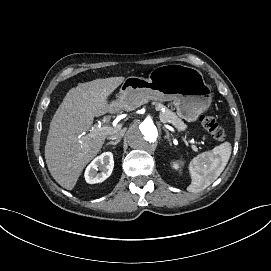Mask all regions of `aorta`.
<instances>
[{
  "mask_svg": "<svg viewBox=\"0 0 271 271\" xmlns=\"http://www.w3.org/2000/svg\"><path fill=\"white\" fill-rule=\"evenodd\" d=\"M158 130L150 119L136 120L127 132V141L131 148L139 152H149L157 143Z\"/></svg>",
  "mask_w": 271,
  "mask_h": 271,
  "instance_id": "obj_1",
  "label": "aorta"
}]
</instances>
